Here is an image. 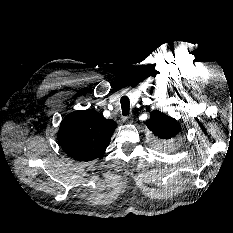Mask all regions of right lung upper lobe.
I'll list each match as a JSON object with an SVG mask.
<instances>
[{"label":"right lung upper lobe","mask_w":233,"mask_h":233,"mask_svg":"<svg viewBox=\"0 0 233 233\" xmlns=\"http://www.w3.org/2000/svg\"><path fill=\"white\" fill-rule=\"evenodd\" d=\"M116 123L94 110H79L61 122L58 140L70 157L91 161L104 154Z\"/></svg>","instance_id":"1"}]
</instances>
